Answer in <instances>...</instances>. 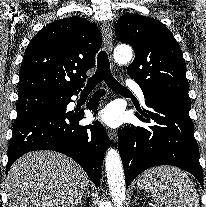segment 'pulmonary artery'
Here are the masks:
<instances>
[{
  "instance_id": "obj_1",
  "label": "pulmonary artery",
  "mask_w": 206,
  "mask_h": 207,
  "mask_svg": "<svg viewBox=\"0 0 206 207\" xmlns=\"http://www.w3.org/2000/svg\"><path fill=\"white\" fill-rule=\"evenodd\" d=\"M129 87L135 92L141 102L145 101L144 92L142 91L141 87L135 83H129Z\"/></svg>"
}]
</instances>
